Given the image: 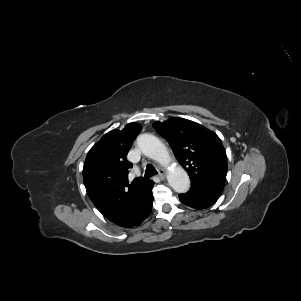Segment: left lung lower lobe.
<instances>
[{"instance_id":"0a47b994","label":"left lung lower lobe","mask_w":301,"mask_h":301,"mask_svg":"<svg viewBox=\"0 0 301 301\" xmlns=\"http://www.w3.org/2000/svg\"><path fill=\"white\" fill-rule=\"evenodd\" d=\"M221 193L198 185H191L187 193L179 195V199L183 204L192 208L206 209L218 200Z\"/></svg>"}]
</instances>
